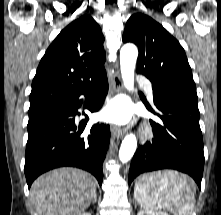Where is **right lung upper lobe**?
<instances>
[{"label":"right lung upper lobe","mask_w":221,"mask_h":215,"mask_svg":"<svg viewBox=\"0 0 221 215\" xmlns=\"http://www.w3.org/2000/svg\"><path fill=\"white\" fill-rule=\"evenodd\" d=\"M103 42L102 31L90 15L66 26L40 61L29 111L76 95L105 77Z\"/></svg>","instance_id":"1"}]
</instances>
